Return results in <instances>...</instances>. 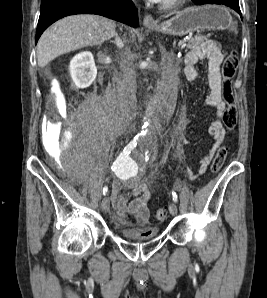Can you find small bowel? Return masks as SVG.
Returning <instances> with one entry per match:
<instances>
[{
  "label": "small bowel",
  "mask_w": 267,
  "mask_h": 298,
  "mask_svg": "<svg viewBox=\"0 0 267 298\" xmlns=\"http://www.w3.org/2000/svg\"><path fill=\"white\" fill-rule=\"evenodd\" d=\"M203 58L208 59V82L210 88V93L206 99V103L215 109L216 118L212 121L208 130L214 140V143L211 146L208 155L203 158L200 163L198 168L199 174L206 172L217 145L225 136L224 113L227 107L222 97L220 71L223 54L216 42L205 41L189 51L184 58V73L188 80H195L198 77V71L195 65ZM173 109L174 107L170 106V111ZM120 187L119 182H114L112 189V196L120 222L125 223L124 216L126 214H132L142 223H147L150 218L148 201L151 198V191L148 184L139 178H133L126 182L127 190L119 193ZM130 197L134 198L129 200ZM136 232L141 236H146L150 235L153 230L152 228L143 227L137 229Z\"/></svg>",
  "instance_id": "c3829d8e"
}]
</instances>
